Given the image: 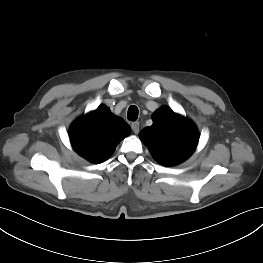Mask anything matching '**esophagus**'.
<instances>
[{"instance_id": "obj_1", "label": "esophagus", "mask_w": 263, "mask_h": 263, "mask_svg": "<svg viewBox=\"0 0 263 263\" xmlns=\"http://www.w3.org/2000/svg\"><path fill=\"white\" fill-rule=\"evenodd\" d=\"M131 128H132V131L135 133V134H138L139 133V122H133L131 124Z\"/></svg>"}]
</instances>
